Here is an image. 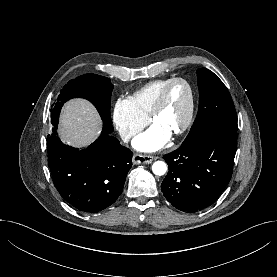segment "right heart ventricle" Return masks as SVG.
<instances>
[{
  "mask_svg": "<svg viewBox=\"0 0 277 277\" xmlns=\"http://www.w3.org/2000/svg\"><path fill=\"white\" fill-rule=\"evenodd\" d=\"M170 79L151 81L137 90L131 98L141 113L149 116L162 88Z\"/></svg>",
  "mask_w": 277,
  "mask_h": 277,
  "instance_id": "1",
  "label": "right heart ventricle"
}]
</instances>
